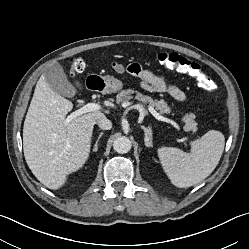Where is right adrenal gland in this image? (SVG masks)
Masks as SVG:
<instances>
[{
	"label": "right adrenal gland",
	"mask_w": 249,
	"mask_h": 249,
	"mask_svg": "<svg viewBox=\"0 0 249 249\" xmlns=\"http://www.w3.org/2000/svg\"><path fill=\"white\" fill-rule=\"evenodd\" d=\"M102 135H103V132H101V133L99 134L98 139L96 140V143H95V145H94L93 151H97V150H98V143H99L100 138L102 137Z\"/></svg>",
	"instance_id": "right-adrenal-gland-1"
}]
</instances>
